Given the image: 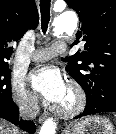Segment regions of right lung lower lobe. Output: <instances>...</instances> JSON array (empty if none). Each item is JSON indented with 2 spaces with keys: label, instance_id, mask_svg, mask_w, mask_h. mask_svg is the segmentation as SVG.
Here are the masks:
<instances>
[{
  "label": "right lung lower lobe",
  "instance_id": "1",
  "mask_svg": "<svg viewBox=\"0 0 116 134\" xmlns=\"http://www.w3.org/2000/svg\"><path fill=\"white\" fill-rule=\"evenodd\" d=\"M0 117L4 118L14 125H19L22 130L33 134L35 132V125L32 121H24L19 119V109L13 102L10 105L0 107Z\"/></svg>",
  "mask_w": 116,
  "mask_h": 134
}]
</instances>
